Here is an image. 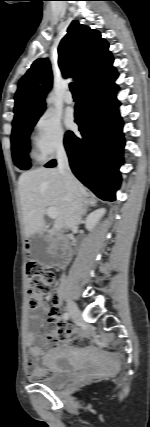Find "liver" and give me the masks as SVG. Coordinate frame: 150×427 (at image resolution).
Listing matches in <instances>:
<instances>
[{"label":"liver","instance_id":"1","mask_svg":"<svg viewBox=\"0 0 150 427\" xmlns=\"http://www.w3.org/2000/svg\"><path fill=\"white\" fill-rule=\"evenodd\" d=\"M76 186L81 197L89 196L86 187L78 180ZM18 188L26 238L44 229L47 207H54L58 212L53 231L63 229L67 210V190L57 168H38L22 173Z\"/></svg>","mask_w":150,"mask_h":427}]
</instances>
